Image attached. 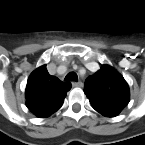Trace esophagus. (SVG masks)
<instances>
[{
    "label": "esophagus",
    "instance_id": "34e87169",
    "mask_svg": "<svg viewBox=\"0 0 145 145\" xmlns=\"http://www.w3.org/2000/svg\"><path fill=\"white\" fill-rule=\"evenodd\" d=\"M72 85L74 86V87H83V83L81 82V81H78V82H72Z\"/></svg>",
    "mask_w": 145,
    "mask_h": 145
}]
</instances>
